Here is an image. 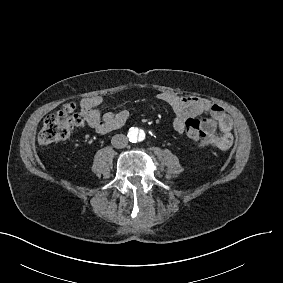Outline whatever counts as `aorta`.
<instances>
[{
    "label": "aorta",
    "mask_w": 283,
    "mask_h": 283,
    "mask_svg": "<svg viewBox=\"0 0 283 283\" xmlns=\"http://www.w3.org/2000/svg\"><path fill=\"white\" fill-rule=\"evenodd\" d=\"M128 137L130 142L137 143V142H142L145 139L146 134L142 129H139L137 127H132L128 132Z\"/></svg>",
    "instance_id": "762f6f07"
}]
</instances>
